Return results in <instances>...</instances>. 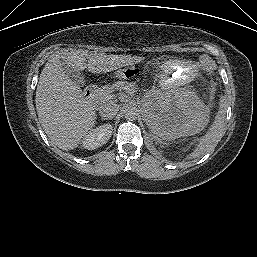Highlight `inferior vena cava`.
I'll return each instance as SVG.
<instances>
[{
    "label": "inferior vena cava",
    "instance_id": "1",
    "mask_svg": "<svg viewBox=\"0 0 257 257\" xmlns=\"http://www.w3.org/2000/svg\"><path fill=\"white\" fill-rule=\"evenodd\" d=\"M119 111V105L114 102H109L100 107L99 113L102 117L111 119Z\"/></svg>",
    "mask_w": 257,
    "mask_h": 257
}]
</instances>
